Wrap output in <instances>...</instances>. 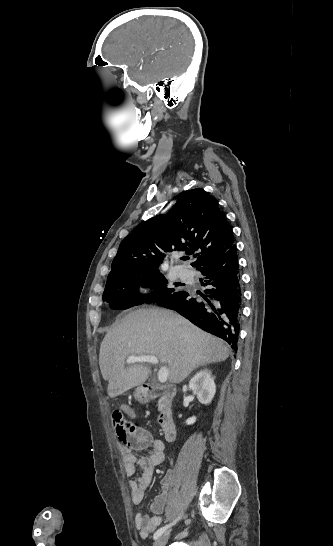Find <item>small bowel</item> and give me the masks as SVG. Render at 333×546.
<instances>
[{
  "instance_id": "small-bowel-1",
  "label": "small bowel",
  "mask_w": 333,
  "mask_h": 546,
  "mask_svg": "<svg viewBox=\"0 0 333 546\" xmlns=\"http://www.w3.org/2000/svg\"><path fill=\"white\" fill-rule=\"evenodd\" d=\"M121 405L119 408L120 411L126 414L131 420H134L135 413L127 402L124 401ZM134 450H148V453L147 456L138 458L133 453ZM164 450L165 445L162 440L154 438L147 430L139 427H135L133 432H131L129 445L121 444L119 446L125 473L132 477L136 473L137 466L141 469V474L131 479L129 483L132 501L135 505L143 503L146 491L151 485L154 470L164 460ZM162 486L163 492L155 498L151 505V511L155 515L148 516L138 513L136 516L135 525L142 536L155 531L162 523L160 514L163 512L170 497L168 480H163Z\"/></svg>"
}]
</instances>
